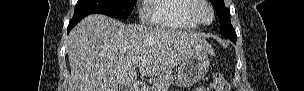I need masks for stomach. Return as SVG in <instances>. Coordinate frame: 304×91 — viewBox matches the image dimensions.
I'll return each mask as SVG.
<instances>
[{"label": "stomach", "mask_w": 304, "mask_h": 91, "mask_svg": "<svg viewBox=\"0 0 304 91\" xmlns=\"http://www.w3.org/2000/svg\"><path fill=\"white\" fill-rule=\"evenodd\" d=\"M209 69L208 52L192 50L183 59L177 72V85L187 87L195 84L205 76Z\"/></svg>", "instance_id": "stomach-1"}]
</instances>
